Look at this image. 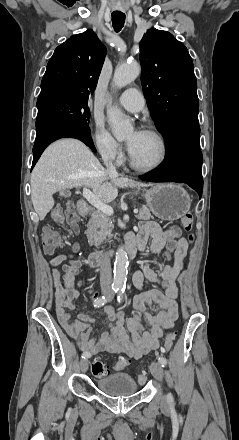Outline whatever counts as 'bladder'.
<instances>
[{"label":"bladder","instance_id":"bladder-1","mask_svg":"<svg viewBox=\"0 0 239 440\" xmlns=\"http://www.w3.org/2000/svg\"><path fill=\"white\" fill-rule=\"evenodd\" d=\"M98 389L109 396H128L138 391L135 379L123 372L101 377L97 382Z\"/></svg>","mask_w":239,"mask_h":440}]
</instances>
